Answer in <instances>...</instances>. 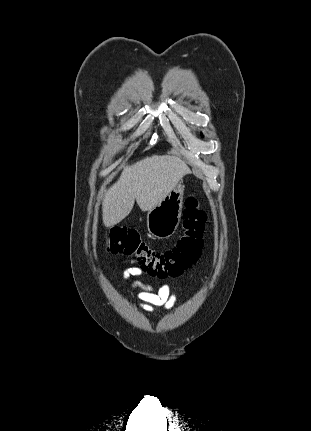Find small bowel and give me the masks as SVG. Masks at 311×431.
Here are the masks:
<instances>
[{
	"instance_id": "small-bowel-1",
	"label": "small bowel",
	"mask_w": 311,
	"mask_h": 431,
	"mask_svg": "<svg viewBox=\"0 0 311 431\" xmlns=\"http://www.w3.org/2000/svg\"><path fill=\"white\" fill-rule=\"evenodd\" d=\"M126 262L130 264V267L125 269L122 274L124 280L139 276L143 273L136 260L130 259ZM133 288H141L138 294L140 307L149 312L155 311L158 307L169 310L174 306L177 299L176 294L171 291L170 285L167 283L160 286L157 291H153L151 287L138 282L133 284Z\"/></svg>"
}]
</instances>
